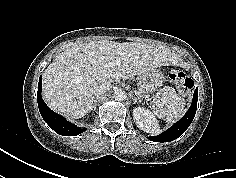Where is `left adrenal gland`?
Here are the masks:
<instances>
[{"label":"left adrenal gland","mask_w":236,"mask_h":178,"mask_svg":"<svg viewBox=\"0 0 236 178\" xmlns=\"http://www.w3.org/2000/svg\"><path fill=\"white\" fill-rule=\"evenodd\" d=\"M131 98L134 102V104H136L138 101L141 103V100H139L137 97H135L133 94L131 95Z\"/></svg>","instance_id":"left-adrenal-gland-1"}]
</instances>
